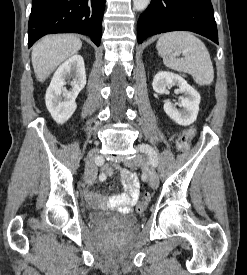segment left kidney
Wrapping results in <instances>:
<instances>
[{
	"label": "left kidney",
	"instance_id": "1",
	"mask_svg": "<svg viewBox=\"0 0 247 275\" xmlns=\"http://www.w3.org/2000/svg\"><path fill=\"white\" fill-rule=\"evenodd\" d=\"M152 85L153 90L158 94H165L167 87L178 86L179 92L185 95L178 103V106L182 109H178L176 105L166 101L163 107L165 113L177 124L182 126H188L196 120L201 97L183 77L171 72L161 71L155 75Z\"/></svg>",
	"mask_w": 247,
	"mask_h": 275
}]
</instances>
